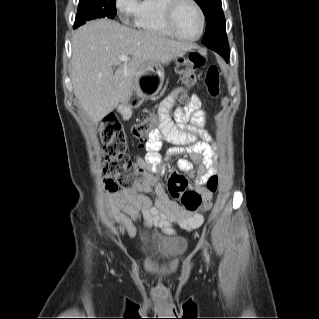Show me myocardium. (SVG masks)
Returning <instances> with one entry per match:
<instances>
[{
  "mask_svg": "<svg viewBox=\"0 0 319 319\" xmlns=\"http://www.w3.org/2000/svg\"><path fill=\"white\" fill-rule=\"evenodd\" d=\"M164 5H163V17H164V22L169 30L170 34L173 35L174 37L183 40V41H188V42H194L197 41L201 38L204 27H205V15L200 7V5L197 3L196 0H164ZM183 3H190L191 5L194 6L196 9L198 16H199V21H200V28L199 32L195 37H185L182 36L176 29L175 24H174V18H175V13L179 6Z\"/></svg>",
  "mask_w": 319,
  "mask_h": 319,
  "instance_id": "myocardium-1",
  "label": "myocardium"
}]
</instances>
